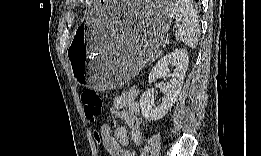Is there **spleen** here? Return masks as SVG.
I'll return each instance as SVG.
<instances>
[{"label":"spleen","mask_w":261,"mask_h":156,"mask_svg":"<svg viewBox=\"0 0 261 156\" xmlns=\"http://www.w3.org/2000/svg\"><path fill=\"white\" fill-rule=\"evenodd\" d=\"M176 17V39L190 48H195L199 37V21L197 11L189 0L178 1L172 8Z\"/></svg>","instance_id":"1"}]
</instances>
